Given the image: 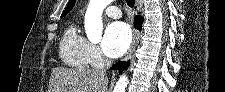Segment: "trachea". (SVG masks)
Masks as SVG:
<instances>
[{
    "label": "trachea",
    "instance_id": "3493384b",
    "mask_svg": "<svg viewBox=\"0 0 225 92\" xmlns=\"http://www.w3.org/2000/svg\"><path fill=\"white\" fill-rule=\"evenodd\" d=\"M128 7L133 8L135 5V0H126Z\"/></svg>",
    "mask_w": 225,
    "mask_h": 92
}]
</instances>
